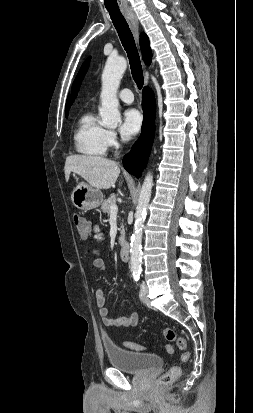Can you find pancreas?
<instances>
[{"label": "pancreas", "instance_id": "obj_1", "mask_svg": "<svg viewBox=\"0 0 253 413\" xmlns=\"http://www.w3.org/2000/svg\"><path fill=\"white\" fill-rule=\"evenodd\" d=\"M116 205V196L111 194L106 200L103 201L101 205V210L103 213L110 214V207ZM121 234H124V227L121 226Z\"/></svg>", "mask_w": 253, "mask_h": 413}]
</instances>
